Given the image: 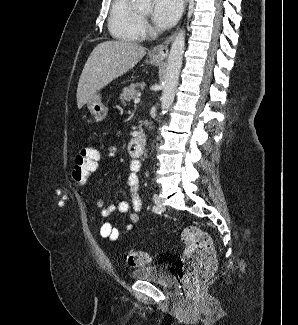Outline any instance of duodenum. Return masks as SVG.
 Masks as SVG:
<instances>
[{
  "instance_id": "obj_1",
  "label": "duodenum",
  "mask_w": 298,
  "mask_h": 325,
  "mask_svg": "<svg viewBox=\"0 0 298 325\" xmlns=\"http://www.w3.org/2000/svg\"><path fill=\"white\" fill-rule=\"evenodd\" d=\"M145 144H146L145 135L142 132H139L129 142L128 145L129 153L133 157H140L144 152Z\"/></svg>"
}]
</instances>
